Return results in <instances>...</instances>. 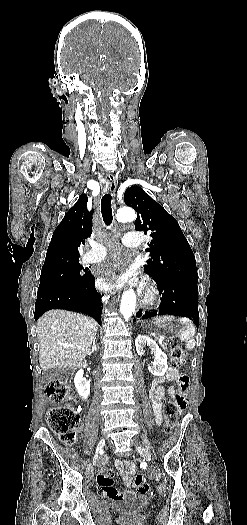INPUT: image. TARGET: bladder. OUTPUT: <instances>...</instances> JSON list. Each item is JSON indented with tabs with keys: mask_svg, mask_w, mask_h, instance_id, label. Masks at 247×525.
<instances>
[{
	"mask_svg": "<svg viewBox=\"0 0 247 525\" xmlns=\"http://www.w3.org/2000/svg\"><path fill=\"white\" fill-rule=\"evenodd\" d=\"M153 504V499L145 495H137L133 499H126L113 505V510L122 514H130L147 509Z\"/></svg>",
	"mask_w": 247,
	"mask_h": 525,
	"instance_id": "31cf9c89",
	"label": "bladder"
}]
</instances>
